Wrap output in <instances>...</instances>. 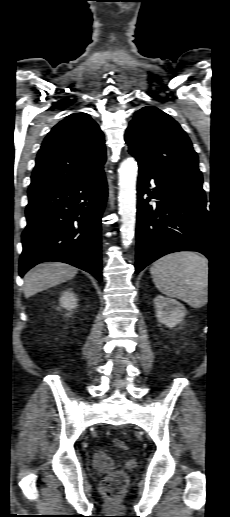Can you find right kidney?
Segmentation results:
<instances>
[{
	"label": "right kidney",
	"instance_id": "right-kidney-1",
	"mask_svg": "<svg viewBox=\"0 0 230 517\" xmlns=\"http://www.w3.org/2000/svg\"><path fill=\"white\" fill-rule=\"evenodd\" d=\"M59 301H60V306L69 311H71L72 309H75L77 306V298H76L75 294L70 290L64 291L61 294Z\"/></svg>",
	"mask_w": 230,
	"mask_h": 517
}]
</instances>
